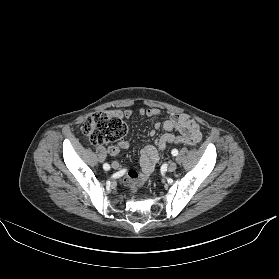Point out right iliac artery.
<instances>
[{
	"label": "right iliac artery",
	"mask_w": 279,
	"mask_h": 279,
	"mask_svg": "<svg viewBox=\"0 0 279 279\" xmlns=\"http://www.w3.org/2000/svg\"><path fill=\"white\" fill-rule=\"evenodd\" d=\"M103 168H104L105 170H109V169H110V165L107 164V163H105V164L103 165Z\"/></svg>",
	"instance_id": "82829eb1"
}]
</instances>
